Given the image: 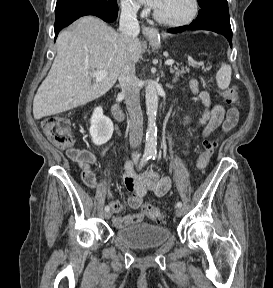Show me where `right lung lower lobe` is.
Listing matches in <instances>:
<instances>
[{"label": "right lung lower lobe", "mask_w": 273, "mask_h": 288, "mask_svg": "<svg viewBox=\"0 0 273 288\" xmlns=\"http://www.w3.org/2000/svg\"><path fill=\"white\" fill-rule=\"evenodd\" d=\"M86 15H94L106 22H113L117 18L118 11H107L97 7L63 9L55 13V39L61 29L68 26L76 19Z\"/></svg>", "instance_id": "98d812e1"}]
</instances>
